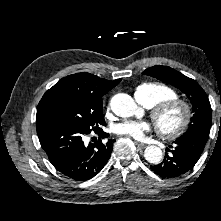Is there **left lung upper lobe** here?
Listing matches in <instances>:
<instances>
[{"mask_svg": "<svg viewBox=\"0 0 221 221\" xmlns=\"http://www.w3.org/2000/svg\"><path fill=\"white\" fill-rule=\"evenodd\" d=\"M143 74L152 76L178 88L192 102V112L194 115L189 123V129L183 135L197 131H210L212 124L211 105L207 94L195 80L171 67L162 65L147 68Z\"/></svg>", "mask_w": 221, "mask_h": 221, "instance_id": "obj_1", "label": "left lung upper lobe"}]
</instances>
